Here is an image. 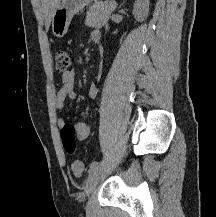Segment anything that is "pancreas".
<instances>
[{"mask_svg": "<svg viewBox=\"0 0 216 217\" xmlns=\"http://www.w3.org/2000/svg\"><path fill=\"white\" fill-rule=\"evenodd\" d=\"M116 8L115 2H100L93 4L87 11L85 24L88 27L101 28L109 20L110 15Z\"/></svg>", "mask_w": 216, "mask_h": 217, "instance_id": "pancreas-1", "label": "pancreas"}]
</instances>
